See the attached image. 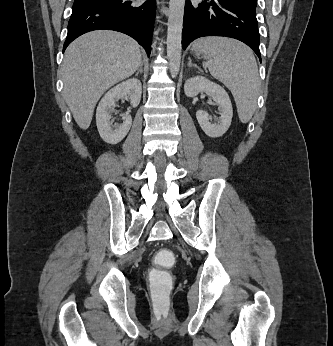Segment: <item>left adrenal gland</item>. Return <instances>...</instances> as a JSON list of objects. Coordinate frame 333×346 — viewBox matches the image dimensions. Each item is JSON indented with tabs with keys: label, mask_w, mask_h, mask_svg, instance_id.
Segmentation results:
<instances>
[{
	"label": "left adrenal gland",
	"mask_w": 333,
	"mask_h": 346,
	"mask_svg": "<svg viewBox=\"0 0 333 346\" xmlns=\"http://www.w3.org/2000/svg\"><path fill=\"white\" fill-rule=\"evenodd\" d=\"M188 67H196V68H198L199 69V67L196 65V64H194V63H192V61H191V58L189 57L188 58Z\"/></svg>",
	"instance_id": "left-adrenal-gland-1"
}]
</instances>
